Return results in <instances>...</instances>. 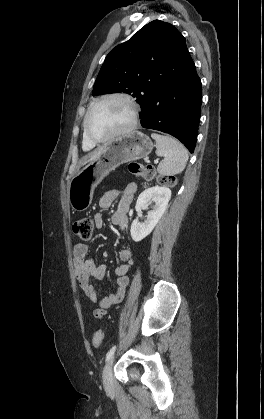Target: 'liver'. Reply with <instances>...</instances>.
Listing matches in <instances>:
<instances>
[{
  "mask_svg": "<svg viewBox=\"0 0 264 419\" xmlns=\"http://www.w3.org/2000/svg\"><path fill=\"white\" fill-rule=\"evenodd\" d=\"M102 150H103V147H100L98 150L86 156L82 164H86L87 162L95 159L101 153Z\"/></svg>",
  "mask_w": 264,
  "mask_h": 419,
  "instance_id": "liver-1",
  "label": "liver"
}]
</instances>
